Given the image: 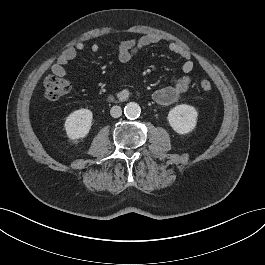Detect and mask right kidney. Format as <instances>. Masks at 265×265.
Returning <instances> with one entry per match:
<instances>
[{
    "label": "right kidney",
    "instance_id": "ca27d5eb",
    "mask_svg": "<svg viewBox=\"0 0 265 265\" xmlns=\"http://www.w3.org/2000/svg\"><path fill=\"white\" fill-rule=\"evenodd\" d=\"M93 114L88 109L72 112L65 121V130L71 140L84 138L88 135L92 125Z\"/></svg>",
    "mask_w": 265,
    "mask_h": 265
}]
</instances>
